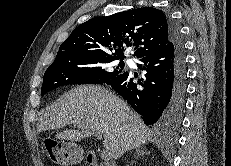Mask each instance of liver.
<instances>
[{
  "label": "liver",
  "mask_w": 231,
  "mask_h": 166,
  "mask_svg": "<svg viewBox=\"0 0 231 166\" xmlns=\"http://www.w3.org/2000/svg\"><path fill=\"white\" fill-rule=\"evenodd\" d=\"M74 124L56 138L80 141L95 132L104 135L103 145L114 159L139 148L152 139L141 117L122 99L102 86L80 85L46 107L41 113L37 131L63 128Z\"/></svg>",
  "instance_id": "liver-1"
}]
</instances>
